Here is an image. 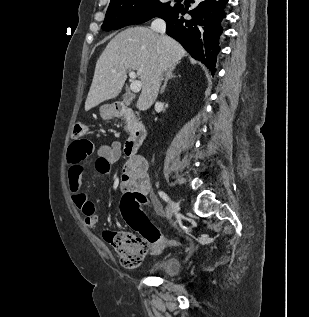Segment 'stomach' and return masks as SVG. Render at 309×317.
I'll list each match as a JSON object with an SVG mask.
<instances>
[{"label":"stomach","instance_id":"1","mask_svg":"<svg viewBox=\"0 0 309 317\" xmlns=\"http://www.w3.org/2000/svg\"><path fill=\"white\" fill-rule=\"evenodd\" d=\"M100 116L104 120H109L117 116L115 108L111 105H103L100 107Z\"/></svg>","mask_w":309,"mask_h":317}]
</instances>
